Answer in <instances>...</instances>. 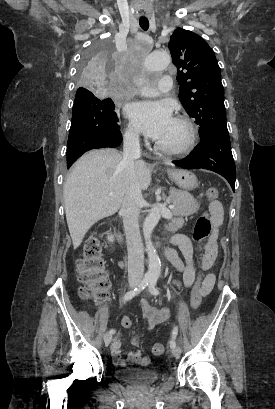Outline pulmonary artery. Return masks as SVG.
I'll return each mask as SVG.
<instances>
[{
	"mask_svg": "<svg viewBox=\"0 0 275 409\" xmlns=\"http://www.w3.org/2000/svg\"><path fill=\"white\" fill-rule=\"evenodd\" d=\"M172 77L170 75H165L163 79L158 80V87L161 88L163 94H174L175 93V86L172 85ZM155 92L157 89L154 87L152 89L151 86H142L140 91L142 92L143 96H148L149 93ZM154 94V93H153Z\"/></svg>",
	"mask_w": 275,
	"mask_h": 409,
	"instance_id": "1",
	"label": "pulmonary artery"
}]
</instances>
